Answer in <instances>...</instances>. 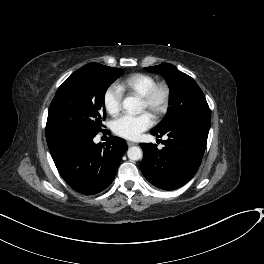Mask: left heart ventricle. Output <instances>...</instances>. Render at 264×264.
Masks as SVG:
<instances>
[{"label": "left heart ventricle", "mask_w": 264, "mask_h": 264, "mask_svg": "<svg viewBox=\"0 0 264 264\" xmlns=\"http://www.w3.org/2000/svg\"><path fill=\"white\" fill-rule=\"evenodd\" d=\"M142 109H143V110L147 109V108H146V105H145V103H144L143 101H142Z\"/></svg>", "instance_id": "b2bd125f"}]
</instances>
